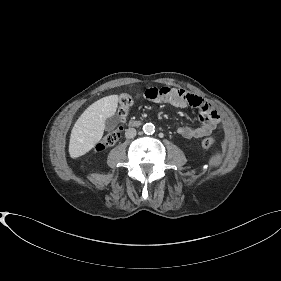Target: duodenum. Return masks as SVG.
I'll list each match as a JSON object with an SVG mask.
<instances>
[{"mask_svg": "<svg viewBox=\"0 0 281 281\" xmlns=\"http://www.w3.org/2000/svg\"><path fill=\"white\" fill-rule=\"evenodd\" d=\"M140 124L141 123L138 120H131V121H129L128 126L129 127H138Z\"/></svg>", "mask_w": 281, "mask_h": 281, "instance_id": "410a0bca", "label": "duodenum"}]
</instances>
